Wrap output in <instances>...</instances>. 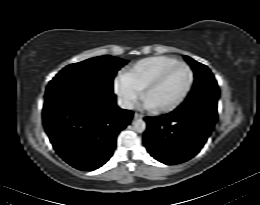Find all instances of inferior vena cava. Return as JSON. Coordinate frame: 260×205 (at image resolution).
Segmentation results:
<instances>
[{"instance_id":"1","label":"inferior vena cava","mask_w":260,"mask_h":205,"mask_svg":"<svg viewBox=\"0 0 260 205\" xmlns=\"http://www.w3.org/2000/svg\"><path fill=\"white\" fill-rule=\"evenodd\" d=\"M117 103L118 106L122 109L132 110L134 108L133 103L126 98H118Z\"/></svg>"}]
</instances>
